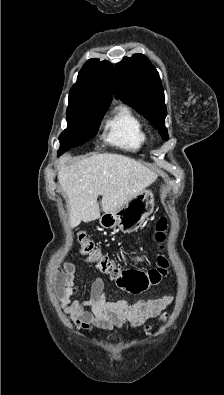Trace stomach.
I'll use <instances>...</instances> for the list:
<instances>
[{
	"mask_svg": "<svg viewBox=\"0 0 224 395\" xmlns=\"http://www.w3.org/2000/svg\"><path fill=\"white\" fill-rule=\"evenodd\" d=\"M154 194L151 190H143L127 201L114 212H104L99 217L100 225L105 229L118 227L129 233L138 229L154 210Z\"/></svg>",
	"mask_w": 224,
	"mask_h": 395,
	"instance_id": "1",
	"label": "stomach"
}]
</instances>
